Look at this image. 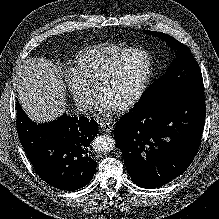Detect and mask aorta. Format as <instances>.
<instances>
[{"instance_id": "762f6f07", "label": "aorta", "mask_w": 219, "mask_h": 219, "mask_svg": "<svg viewBox=\"0 0 219 219\" xmlns=\"http://www.w3.org/2000/svg\"><path fill=\"white\" fill-rule=\"evenodd\" d=\"M115 140L107 135H100L95 137L92 142V147L95 151L106 153L115 148Z\"/></svg>"}]
</instances>
